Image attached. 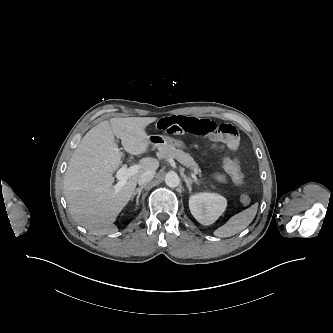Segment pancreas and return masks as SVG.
Masks as SVG:
<instances>
[{"mask_svg":"<svg viewBox=\"0 0 333 333\" xmlns=\"http://www.w3.org/2000/svg\"><path fill=\"white\" fill-rule=\"evenodd\" d=\"M157 156L159 158H175L177 159L181 164L186 166L187 168L193 170L194 172L200 174L201 170L199 169L198 164L194 161V159L184 151L180 149H176L174 146L169 145L166 147L159 148V152L157 153Z\"/></svg>","mask_w":333,"mask_h":333,"instance_id":"1","label":"pancreas"}]
</instances>
